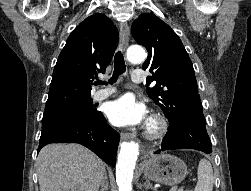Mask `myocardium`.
<instances>
[{"mask_svg": "<svg viewBox=\"0 0 251 191\" xmlns=\"http://www.w3.org/2000/svg\"><path fill=\"white\" fill-rule=\"evenodd\" d=\"M168 129L167 121L159 116H153L147 123L145 137L148 140H157L165 135Z\"/></svg>", "mask_w": 251, "mask_h": 191, "instance_id": "1", "label": "myocardium"}]
</instances>
